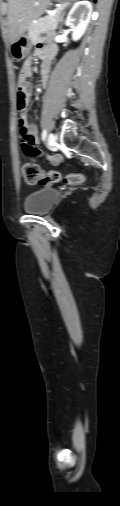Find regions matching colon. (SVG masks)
Here are the masks:
<instances>
[{
	"instance_id": "colon-1",
	"label": "colon",
	"mask_w": 120,
	"mask_h": 506,
	"mask_svg": "<svg viewBox=\"0 0 120 506\" xmlns=\"http://www.w3.org/2000/svg\"><path fill=\"white\" fill-rule=\"evenodd\" d=\"M29 92L18 84L17 93V107L19 121L26 111L28 103ZM21 141L23 149L26 153L35 156L39 153L36 147V141L30 134H21ZM24 180L27 184H42L49 185L58 183L61 180V174L58 171H44L41 167L34 162L26 163L22 168ZM87 176L85 173H70L65 177V182L69 185H78L86 181Z\"/></svg>"
}]
</instances>
